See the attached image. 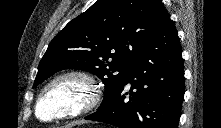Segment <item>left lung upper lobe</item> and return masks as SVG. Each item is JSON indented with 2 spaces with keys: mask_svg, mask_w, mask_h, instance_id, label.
Here are the masks:
<instances>
[{
  "mask_svg": "<svg viewBox=\"0 0 221 128\" xmlns=\"http://www.w3.org/2000/svg\"><path fill=\"white\" fill-rule=\"evenodd\" d=\"M168 17L160 0H97L53 38L33 87L63 69L88 71L105 85L103 107L124 84L135 55Z\"/></svg>",
  "mask_w": 221,
  "mask_h": 128,
  "instance_id": "obj_1",
  "label": "left lung upper lobe"
}]
</instances>
